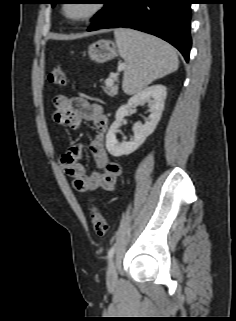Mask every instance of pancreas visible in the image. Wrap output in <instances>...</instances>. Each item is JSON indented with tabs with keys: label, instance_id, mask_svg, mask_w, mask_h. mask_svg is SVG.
Instances as JSON below:
<instances>
[{
	"label": "pancreas",
	"instance_id": "1",
	"mask_svg": "<svg viewBox=\"0 0 236 321\" xmlns=\"http://www.w3.org/2000/svg\"><path fill=\"white\" fill-rule=\"evenodd\" d=\"M112 79V82L107 85L106 84V87H104V91L110 95V96H114L117 94L118 92V86L114 84V78H112L111 76L108 78V79ZM107 81V80H106Z\"/></svg>",
	"mask_w": 236,
	"mask_h": 321
}]
</instances>
